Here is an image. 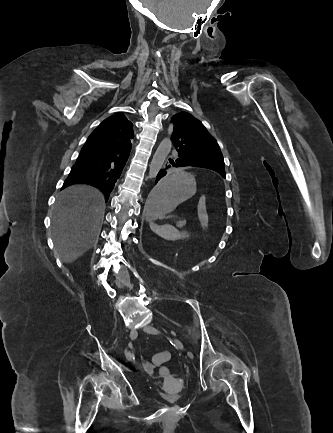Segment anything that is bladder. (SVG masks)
Segmentation results:
<instances>
[{
	"label": "bladder",
	"mask_w": 333,
	"mask_h": 433,
	"mask_svg": "<svg viewBox=\"0 0 333 433\" xmlns=\"http://www.w3.org/2000/svg\"><path fill=\"white\" fill-rule=\"evenodd\" d=\"M160 395L162 399L170 403L177 402L181 400L184 396L183 393H170V392H161Z\"/></svg>",
	"instance_id": "obj_1"
}]
</instances>
